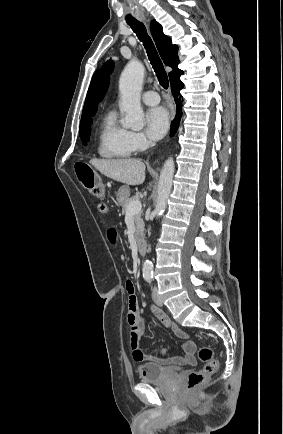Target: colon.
Instances as JSON below:
<instances>
[{"label":"colon","mask_w":283,"mask_h":434,"mask_svg":"<svg viewBox=\"0 0 283 434\" xmlns=\"http://www.w3.org/2000/svg\"><path fill=\"white\" fill-rule=\"evenodd\" d=\"M78 181L91 194L96 197H103L105 187L96 172L85 163L75 165ZM199 359L205 364L201 370L193 371L187 376V387L195 390L203 386L207 380L218 370V361L214 359L213 352L209 347H202L199 350Z\"/></svg>","instance_id":"obj_1"}]
</instances>
